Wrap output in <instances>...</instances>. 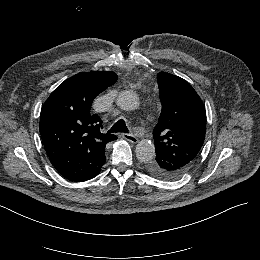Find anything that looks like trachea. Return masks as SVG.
I'll list each match as a JSON object with an SVG mask.
<instances>
[{"mask_svg":"<svg viewBox=\"0 0 260 260\" xmlns=\"http://www.w3.org/2000/svg\"><path fill=\"white\" fill-rule=\"evenodd\" d=\"M109 133H113V132H125L128 133L129 130L126 126V122L124 121V119H119L112 127L111 129L108 131Z\"/></svg>","mask_w":260,"mask_h":260,"instance_id":"obj_1","label":"trachea"}]
</instances>
